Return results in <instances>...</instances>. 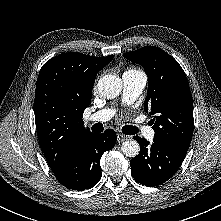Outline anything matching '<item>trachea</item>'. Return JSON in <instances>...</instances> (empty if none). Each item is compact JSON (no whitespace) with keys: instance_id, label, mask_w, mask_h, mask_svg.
<instances>
[{"instance_id":"3493384b","label":"trachea","mask_w":221,"mask_h":221,"mask_svg":"<svg viewBox=\"0 0 221 221\" xmlns=\"http://www.w3.org/2000/svg\"><path fill=\"white\" fill-rule=\"evenodd\" d=\"M122 130H123V132H124L125 134H127V135H134V134H136V133L138 132L137 127H135V126H129V125L124 126V127L122 128Z\"/></svg>"}]
</instances>
